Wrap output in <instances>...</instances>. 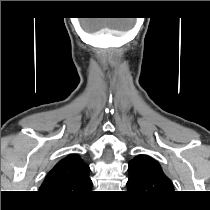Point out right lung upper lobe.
I'll return each mask as SVG.
<instances>
[{"mask_svg":"<svg viewBox=\"0 0 210 210\" xmlns=\"http://www.w3.org/2000/svg\"><path fill=\"white\" fill-rule=\"evenodd\" d=\"M89 170L78 155L71 154L53 167L39 191L56 200H79L91 190Z\"/></svg>","mask_w":210,"mask_h":210,"instance_id":"1","label":"right lung upper lobe"}]
</instances>
